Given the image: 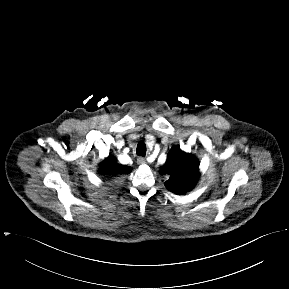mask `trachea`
<instances>
[{
	"label": "trachea",
	"instance_id": "trachea-1",
	"mask_svg": "<svg viewBox=\"0 0 289 289\" xmlns=\"http://www.w3.org/2000/svg\"><path fill=\"white\" fill-rule=\"evenodd\" d=\"M136 153L137 155L142 156V157L146 155V144L144 142L138 143Z\"/></svg>",
	"mask_w": 289,
	"mask_h": 289
}]
</instances>
